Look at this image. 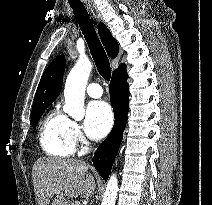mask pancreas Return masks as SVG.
Segmentation results:
<instances>
[{"label":"pancreas","instance_id":"obj_1","mask_svg":"<svg viewBox=\"0 0 212 205\" xmlns=\"http://www.w3.org/2000/svg\"><path fill=\"white\" fill-rule=\"evenodd\" d=\"M72 205H81V203L79 201H75Z\"/></svg>","mask_w":212,"mask_h":205}]
</instances>
